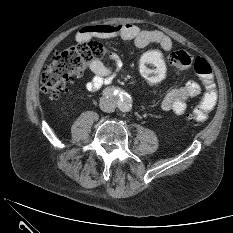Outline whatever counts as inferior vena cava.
<instances>
[{"label":"inferior vena cava","mask_w":233,"mask_h":233,"mask_svg":"<svg viewBox=\"0 0 233 233\" xmlns=\"http://www.w3.org/2000/svg\"><path fill=\"white\" fill-rule=\"evenodd\" d=\"M100 107L104 112H113L116 108V100L114 98H102Z\"/></svg>","instance_id":"inferior-vena-cava-1"}]
</instances>
